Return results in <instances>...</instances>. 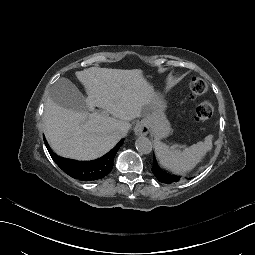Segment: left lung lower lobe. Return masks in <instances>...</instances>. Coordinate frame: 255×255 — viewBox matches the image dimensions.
Here are the masks:
<instances>
[{
    "label": "left lung lower lobe",
    "instance_id": "0a47b994",
    "mask_svg": "<svg viewBox=\"0 0 255 255\" xmlns=\"http://www.w3.org/2000/svg\"><path fill=\"white\" fill-rule=\"evenodd\" d=\"M150 170H152L153 175H155L158 180H161L163 184H172L174 181H179V176H174V173L162 167L159 158H153Z\"/></svg>",
    "mask_w": 255,
    "mask_h": 255
}]
</instances>
